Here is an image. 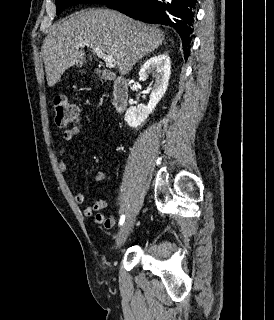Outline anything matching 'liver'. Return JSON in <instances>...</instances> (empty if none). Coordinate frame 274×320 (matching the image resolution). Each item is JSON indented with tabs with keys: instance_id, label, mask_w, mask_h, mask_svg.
Wrapping results in <instances>:
<instances>
[{
	"instance_id": "obj_1",
	"label": "liver",
	"mask_w": 274,
	"mask_h": 320,
	"mask_svg": "<svg viewBox=\"0 0 274 320\" xmlns=\"http://www.w3.org/2000/svg\"><path fill=\"white\" fill-rule=\"evenodd\" d=\"M82 42L113 56L119 74L126 76L139 60L162 46L164 32L114 10L75 12L55 24L43 42L41 54L50 88L71 66L87 64L84 50H79L84 46H78Z\"/></svg>"
}]
</instances>
